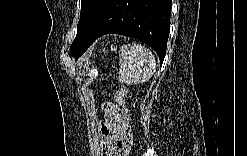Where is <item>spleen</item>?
<instances>
[{"label":"spleen","instance_id":"spleen-1","mask_svg":"<svg viewBox=\"0 0 247 156\" xmlns=\"http://www.w3.org/2000/svg\"><path fill=\"white\" fill-rule=\"evenodd\" d=\"M119 80L128 85L147 81L156 70L153 53L141 44H126L119 51Z\"/></svg>","mask_w":247,"mask_h":156}]
</instances>
